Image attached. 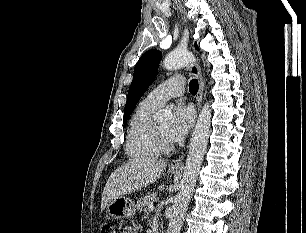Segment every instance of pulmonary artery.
<instances>
[{"label": "pulmonary artery", "mask_w": 306, "mask_h": 233, "mask_svg": "<svg viewBox=\"0 0 306 233\" xmlns=\"http://www.w3.org/2000/svg\"><path fill=\"white\" fill-rule=\"evenodd\" d=\"M184 93V79L174 76L154 88L144 99L151 105L161 106L168 99L180 96Z\"/></svg>", "instance_id": "e3ab8cb5"}]
</instances>
